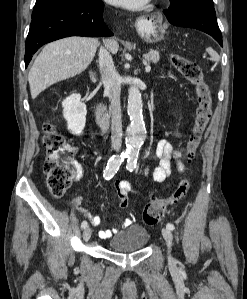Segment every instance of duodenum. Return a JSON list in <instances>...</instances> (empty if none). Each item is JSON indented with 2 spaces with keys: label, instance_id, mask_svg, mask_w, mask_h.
<instances>
[{
  "label": "duodenum",
  "instance_id": "obj_1",
  "mask_svg": "<svg viewBox=\"0 0 247 299\" xmlns=\"http://www.w3.org/2000/svg\"><path fill=\"white\" fill-rule=\"evenodd\" d=\"M95 111H96V118H97L98 123L101 126H106L107 121H108L107 107L103 103L97 102Z\"/></svg>",
  "mask_w": 247,
  "mask_h": 299
}]
</instances>
